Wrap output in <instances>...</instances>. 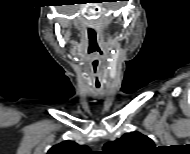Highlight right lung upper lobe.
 <instances>
[{"mask_svg": "<svg viewBox=\"0 0 190 154\" xmlns=\"http://www.w3.org/2000/svg\"><path fill=\"white\" fill-rule=\"evenodd\" d=\"M89 149L85 145H78L73 141H63L49 149L47 154H84Z\"/></svg>", "mask_w": 190, "mask_h": 154, "instance_id": "obj_1", "label": "right lung upper lobe"}]
</instances>
